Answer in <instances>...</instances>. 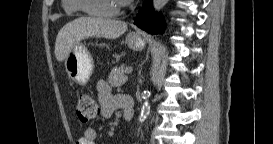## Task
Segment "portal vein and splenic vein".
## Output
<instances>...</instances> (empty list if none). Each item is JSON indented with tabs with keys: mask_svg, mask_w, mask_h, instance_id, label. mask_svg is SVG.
Instances as JSON below:
<instances>
[{
	"mask_svg": "<svg viewBox=\"0 0 273 144\" xmlns=\"http://www.w3.org/2000/svg\"><path fill=\"white\" fill-rule=\"evenodd\" d=\"M132 71H133L132 67H128V68L125 69L126 74H130V73H132Z\"/></svg>",
	"mask_w": 273,
	"mask_h": 144,
	"instance_id": "1",
	"label": "portal vein and splenic vein"
}]
</instances>
